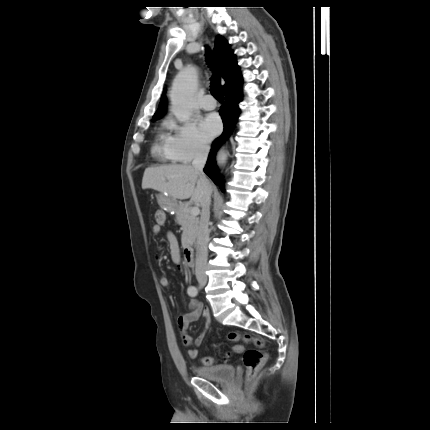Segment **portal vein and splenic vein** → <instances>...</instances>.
<instances>
[{"instance_id": "obj_1", "label": "portal vein and splenic vein", "mask_w": 430, "mask_h": 430, "mask_svg": "<svg viewBox=\"0 0 430 430\" xmlns=\"http://www.w3.org/2000/svg\"><path fill=\"white\" fill-rule=\"evenodd\" d=\"M190 211H191V214L194 216H197L200 213V210L198 207H192Z\"/></svg>"}]
</instances>
